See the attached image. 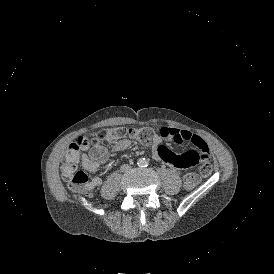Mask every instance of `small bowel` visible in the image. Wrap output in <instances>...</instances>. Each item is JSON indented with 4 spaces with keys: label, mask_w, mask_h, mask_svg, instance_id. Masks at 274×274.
<instances>
[{
    "label": "small bowel",
    "mask_w": 274,
    "mask_h": 274,
    "mask_svg": "<svg viewBox=\"0 0 274 274\" xmlns=\"http://www.w3.org/2000/svg\"><path fill=\"white\" fill-rule=\"evenodd\" d=\"M173 140L177 143L191 142L195 146H190L188 149H184L180 154L176 150H170L164 148V140ZM130 146V141L123 136L114 142L113 150L116 152L123 151ZM164 148L162 151L161 149ZM205 149L206 152L201 150ZM80 150L82 151L81 164L88 172L96 171L102 164L108 159V150L101 144L90 145L87 140L80 144ZM151 150L154 157L161 163L176 167V171L179 174H184L186 171L191 170L195 165H200V171L203 174H208L215 168V163L210 160V152L206 142L197 134L188 130L173 129L163 127L158 134H155L152 138ZM169 159L170 161H166ZM192 159V160H191ZM102 179L94 177L87 183V189L92 190L100 187Z\"/></svg>",
    "instance_id": "small-bowel-1"
}]
</instances>
